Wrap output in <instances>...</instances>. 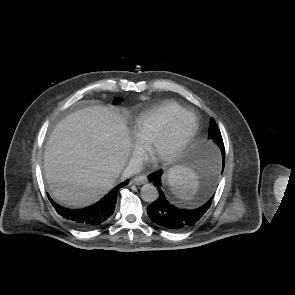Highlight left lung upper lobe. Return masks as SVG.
Segmentation results:
<instances>
[{
    "instance_id": "5c2ea615",
    "label": "left lung upper lobe",
    "mask_w": 295,
    "mask_h": 295,
    "mask_svg": "<svg viewBox=\"0 0 295 295\" xmlns=\"http://www.w3.org/2000/svg\"><path fill=\"white\" fill-rule=\"evenodd\" d=\"M209 138L213 139L214 142H216L221 150L224 152V144H223V139L220 133V130L214 121V119L210 120V127H209Z\"/></svg>"
}]
</instances>
